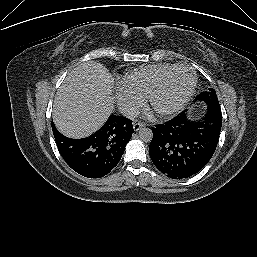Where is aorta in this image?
<instances>
[{
  "instance_id": "762f6f07",
  "label": "aorta",
  "mask_w": 257,
  "mask_h": 257,
  "mask_svg": "<svg viewBox=\"0 0 257 257\" xmlns=\"http://www.w3.org/2000/svg\"><path fill=\"white\" fill-rule=\"evenodd\" d=\"M139 138L144 142H151L153 139V132L147 127H143L139 130Z\"/></svg>"
}]
</instances>
